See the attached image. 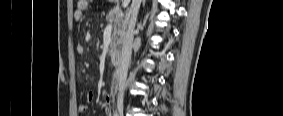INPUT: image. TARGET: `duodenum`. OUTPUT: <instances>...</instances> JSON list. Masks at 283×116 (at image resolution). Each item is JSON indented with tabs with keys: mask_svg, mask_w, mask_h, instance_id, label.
Returning a JSON list of instances; mask_svg holds the SVG:
<instances>
[{
	"mask_svg": "<svg viewBox=\"0 0 283 116\" xmlns=\"http://www.w3.org/2000/svg\"><path fill=\"white\" fill-rule=\"evenodd\" d=\"M111 60L115 68H119L120 63H121V53L118 50H115L112 52L111 55ZM113 87L115 88L118 85V73H115L114 78H113Z\"/></svg>",
	"mask_w": 283,
	"mask_h": 116,
	"instance_id": "duodenum-1",
	"label": "duodenum"
}]
</instances>
